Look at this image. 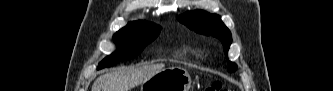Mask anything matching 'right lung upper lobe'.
Segmentation results:
<instances>
[{"mask_svg":"<svg viewBox=\"0 0 333 91\" xmlns=\"http://www.w3.org/2000/svg\"><path fill=\"white\" fill-rule=\"evenodd\" d=\"M139 22H145V21H134V22H130V23H139Z\"/></svg>","mask_w":333,"mask_h":91,"instance_id":"obj_1","label":"right lung upper lobe"}]
</instances>
